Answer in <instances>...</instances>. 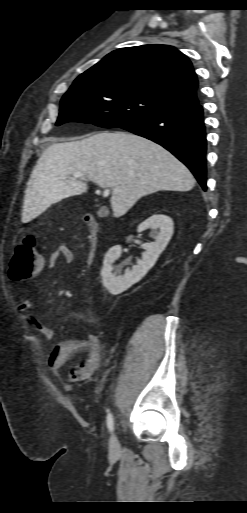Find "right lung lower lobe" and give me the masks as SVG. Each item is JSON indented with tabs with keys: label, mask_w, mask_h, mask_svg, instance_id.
Listing matches in <instances>:
<instances>
[{
	"label": "right lung lower lobe",
	"mask_w": 247,
	"mask_h": 513,
	"mask_svg": "<svg viewBox=\"0 0 247 513\" xmlns=\"http://www.w3.org/2000/svg\"><path fill=\"white\" fill-rule=\"evenodd\" d=\"M150 139L175 155L206 187V136L203 109L197 102L167 109L121 127Z\"/></svg>",
	"instance_id": "obj_1"
}]
</instances>
